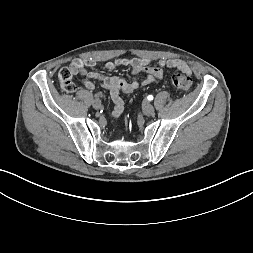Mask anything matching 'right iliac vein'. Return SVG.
<instances>
[{"mask_svg":"<svg viewBox=\"0 0 253 253\" xmlns=\"http://www.w3.org/2000/svg\"><path fill=\"white\" fill-rule=\"evenodd\" d=\"M92 106L94 109H100L101 108V101L99 99H95L92 102Z\"/></svg>","mask_w":253,"mask_h":253,"instance_id":"right-iliac-vein-1","label":"right iliac vein"}]
</instances>
